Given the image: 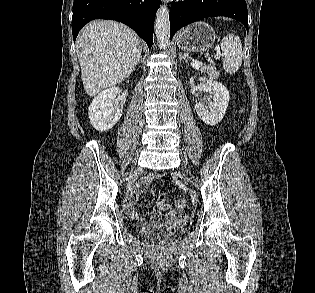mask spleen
Wrapping results in <instances>:
<instances>
[{
	"label": "spleen",
	"instance_id": "1",
	"mask_svg": "<svg viewBox=\"0 0 315 293\" xmlns=\"http://www.w3.org/2000/svg\"><path fill=\"white\" fill-rule=\"evenodd\" d=\"M220 47L224 54V70L227 73H235L242 63L243 51L240 38L229 34L221 40Z\"/></svg>",
	"mask_w": 315,
	"mask_h": 293
}]
</instances>
